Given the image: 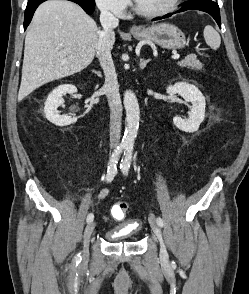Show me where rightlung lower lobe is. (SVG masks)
<instances>
[{"mask_svg":"<svg viewBox=\"0 0 249 294\" xmlns=\"http://www.w3.org/2000/svg\"><path fill=\"white\" fill-rule=\"evenodd\" d=\"M44 1L46 0H29L25 10L24 30L29 25L36 8ZM69 1H73L79 4L84 9V11L89 15L92 14L95 10V5L86 3L84 0H69Z\"/></svg>","mask_w":249,"mask_h":294,"instance_id":"right-lung-lower-lobe-1","label":"right lung lower lobe"}]
</instances>
